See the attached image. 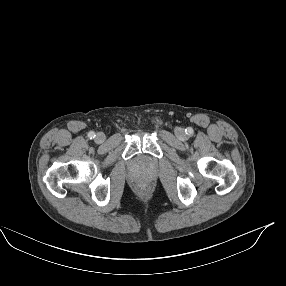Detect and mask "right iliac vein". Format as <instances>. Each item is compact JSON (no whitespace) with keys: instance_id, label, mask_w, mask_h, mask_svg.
Listing matches in <instances>:
<instances>
[{"instance_id":"1","label":"right iliac vein","mask_w":286,"mask_h":286,"mask_svg":"<svg viewBox=\"0 0 286 286\" xmlns=\"http://www.w3.org/2000/svg\"><path fill=\"white\" fill-rule=\"evenodd\" d=\"M95 139H96V142L103 143L105 141V139H106V136H105L104 133L99 132V133H97Z\"/></svg>"}]
</instances>
